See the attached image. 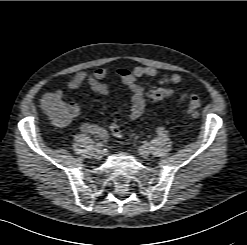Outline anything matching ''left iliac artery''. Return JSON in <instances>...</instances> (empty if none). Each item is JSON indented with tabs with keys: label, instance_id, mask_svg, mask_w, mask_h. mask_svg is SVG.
Listing matches in <instances>:
<instances>
[{
	"label": "left iliac artery",
	"instance_id": "44dca946",
	"mask_svg": "<svg viewBox=\"0 0 247 245\" xmlns=\"http://www.w3.org/2000/svg\"><path fill=\"white\" fill-rule=\"evenodd\" d=\"M156 132H157V134L162 135L165 132V128L164 127H158Z\"/></svg>",
	"mask_w": 247,
	"mask_h": 245
}]
</instances>
